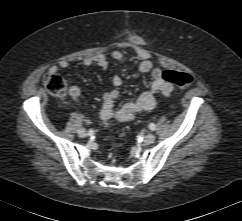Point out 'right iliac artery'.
Returning a JSON list of instances; mask_svg holds the SVG:
<instances>
[{"label":"right iliac artery","instance_id":"obj_1","mask_svg":"<svg viewBox=\"0 0 242 221\" xmlns=\"http://www.w3.org/2000/svg\"><path fill=\"white\" fill-rule=\"evenodd\" d=\"M93 134V130H89V135H92Z\"/></svg>","mask_w":242,"mask_h":221}]
</instances>
